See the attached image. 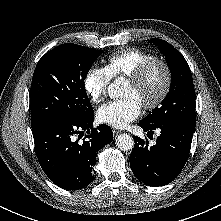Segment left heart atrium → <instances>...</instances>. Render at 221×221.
Segmentation results:
<instances>
[{"label": "left heart atrium", "mask_w": 221, "mask_h": 221, "mask_svg": "<svg viewBox=\"0 0 221 221\" xmlns=\"http://www.w3.org/2000/svg\"><path fill=\"white\" fill-rule=\"evenodd\" d=\"M142 112V104L133 96L108 102L97 111L98 119L115 128H124L137 119Z\"/></svg>", "instance_id": "1"}]
</instances>
